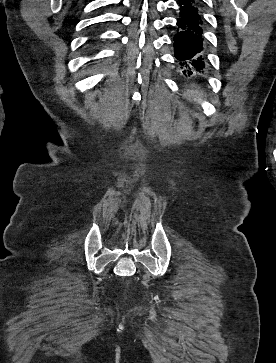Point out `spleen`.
Returning <instances> with one entry per match:
<instances>
[{
	"mask_svg": "<svg viewBox=\"0 0 276 363\" xmlns=\"http://www.w3.org/2000/svg\"><path fill=\"white\" fill-rule=\"evenodd\" d=\"M189 94L192 97H195V100L203 97V92L199 89H191V90H189Z\"/></svg>",
	"mask_w": 276,
	"mask_h": 363,
	"instance_id": "spleen-1",
	"label": "spleen"
}]
</instances>
